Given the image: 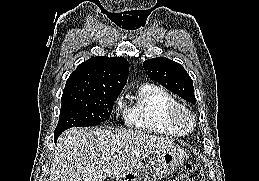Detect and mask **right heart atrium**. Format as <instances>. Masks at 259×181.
Returning a JSON list of instances; mask_svg holds the SVG:
<instances>
[{"mask_svg":"<svg viewBox=\"0 0 259 181\" xmlns=\"http://www.w3.org/2000/svg\"><path fill=\"white\" fill-rule=\"evenodd\" d=\"M120 107H121V101H118L117 108H120Z\"/></svg>","mask_w":259,"mask_h":181,"instance_id":"obj_1","label":"right heart atrium"}]
</instances>
